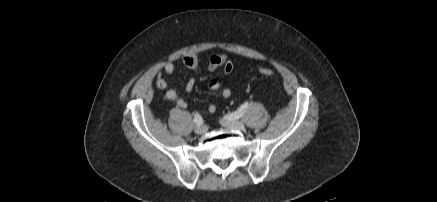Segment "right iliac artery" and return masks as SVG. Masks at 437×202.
I'll return each mask as SVG.
<instances>
[{"label":"right iliac artery","mask_w":437,"mask_h":202,"mask_svg":"<svg viewBox=\"0 0 437 202\" xmlns=\"http://www.w3.org/2000/svg\"><path fill=\"white\" fill-rule=\"evenodd\" d=\"M194 122H195L197 125H202V124H203V119H202V117H201L200 114H196V115L194 116Z\"/></svg>","instance_id":"1"}]
</instances>
